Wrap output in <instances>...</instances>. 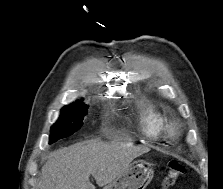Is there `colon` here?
Returning a JSON list of instances; mask_svg holds the SVG:
<instances>
[{
	"label": "colon",
	"mask_w": 223,
	"mask_h": 189,
	"mask_svg": "<svg viewBox=\"0 0 223 189\" xmlns=\"http://www.w3.org/2000/svg\"><path fill=\"white\" fill-rule=\"evenodd\" d=\"M186 167L178 160H170L168 163V170L162 182L161 189H170L176 181L184 175Z\"/></svg>",
	"instance_id": "5ec220e1"
}]
</instances>
